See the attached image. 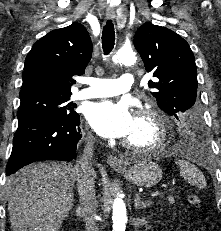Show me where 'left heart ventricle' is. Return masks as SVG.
Instances as JSON below:
<instances>
[{"label":"left heart ventricle","instance_id":"obj_1","mask_svg":"<svg viewBox=\"0 0 221 231\" xmlns=\"http://www.w3.org/2000/svg\"><path fill=\"white\" fill-rule=\"evenodd\" d=\"M155 137L156 131L151 122L142 118H135L134 127L125 139L135 144H149L155 140Z\"/></svg>","mask_w":221,"mask_h":231}]
</instances>
